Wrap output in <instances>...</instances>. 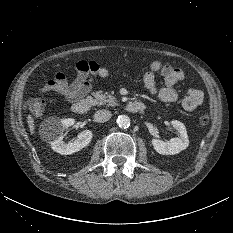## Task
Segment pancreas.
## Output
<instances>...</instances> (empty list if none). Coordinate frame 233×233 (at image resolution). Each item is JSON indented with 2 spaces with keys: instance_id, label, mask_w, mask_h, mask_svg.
<instances>
[{
  "instance_id": "cf45deb5",
  "label": "pancreas",
  "mask_w": 233,
  "mask_h": 233,
  "mask_svg": "<svg viewBox=\"0 0 233 233\" xmlns=\"http://www.w3.org/2000/svg\"><path fill=\"white\" fill-rule=\"evenodd\" d=\"M92 95L95 98V104L98 106L105 105V104L109 106L117 105V101L114 96L106 95L101 92H94Z\"/></svg>"
}]
</instances>
